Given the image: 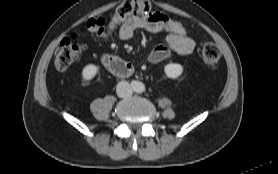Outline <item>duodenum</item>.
Listing matches in <instances>:
<instances>
[{
    "mask_svg": "<svg viewBox=\"0 0 278 174\" xmlns=\"http://www.w3.org/2000/svg\"><path fill=\"white\" fill-rule=\"evenodd\" d=\"M103 63L110 72L119 76H123L131 70L130 64L116 56H105Z\"/></svg>",
    "mask_w": 278,
    "mask_h": 174,
    "instance_id": "410a0bca",
    "label": "duodenum"
}]
</instances>
